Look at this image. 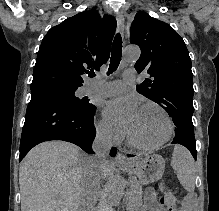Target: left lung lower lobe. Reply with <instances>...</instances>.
Segmentation results:
<instances>
[{"label": "left lung lower lobe", "mask_w": 219, "mask_h": 211, "mask_svg": "<svg viewBox=\"0 0 219 211\" xmlns=\"http://www.w3.org/2000/svg\"><path fill=\"white\" fill-rule=\"evenodd\" d=\"M175 138L172 141L173 144H181L185 146L193 155L196 160L197 151L195 145V137L194 131H177L175 132ZM134 155H128V157H132Z\"/></svg>", "instance_id": "obj_1"}]
</instances>
